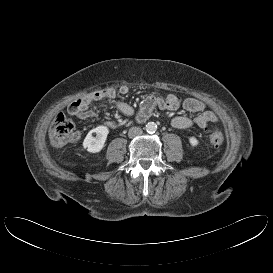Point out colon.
<instances>
[{"label": "colon", "mask_w": 273, "mask_h": 273, "mask_svg": "<svg viewBox=\"0 0 273 273\" xmlns=\"http://www.w3.org/2000/svg\"><path fill=\"white\" fill-rule=\"evenodd\" d=\"M210 143L215 147H220L224 143L223 134L216 129H207ZM50 141L54 146H63L74 141L78 134L75 132L73 122L63 113L54 116L50 130Z\"/></svg>", "instance_id": "colon-1"}]
</instances>
